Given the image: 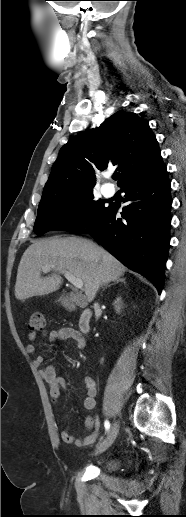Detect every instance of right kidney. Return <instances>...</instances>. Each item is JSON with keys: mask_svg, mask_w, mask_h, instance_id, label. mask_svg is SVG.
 <instances>
[{"mask_svg": "<svg viewBox=\"0 0 186 517\" xmlns=\"http://www.w3.org/2000/svg\"><path fill=\"white\" fill-rule=\"evenodd\" d=\"M114 305H115L116 312L120 313V310H121V299L117 298L116 301L114 302Z\"/></svg>", "mask_w": 186, "mask_h": 517, "instance_id": "1", "label": "right kidney"}]
</instances>
